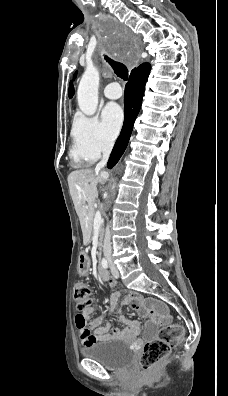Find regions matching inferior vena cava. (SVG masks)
<instances>
[{
	"instance_id": "1",
	"label": "inferior vena cava",
	"mask_w": 228,
	"mask_h": 396,
	"mask_svg": "<svg viewBox=\"0 0 228 396\" xmlns=\"http://www.w3.org/2000/svg\"><path fill=\"white\" fill-rule=\"evenodd\" d=\"M114 142L113 141H107L105 142L103 146V157L101 161L96 165L97 171H100L107 163L108 158L110 156V153L112 151ZM103 175L104 172H101ZM104 181V180H103ZM103 252L106 257L110 256L112 253V248H111V235H110V229L109 226L107 225L106 231H105V237H104V243H103Z\"/></svg>"
}]
</instances>
